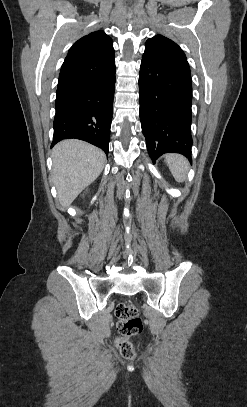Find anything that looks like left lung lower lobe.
<instances>
[{"instance_id":"0a47b994","label":"left lung lower lobe","mask_w":247,"mask_h":407,"mask_svg":"<svg viewBox=\"0 0 247 407\" xmlns=\"http://www.w3.org/2000/svg\"><path fill=\"white\" fill-rule=\"evenodd\" d=\"M140 120L152 160L180 153L191 162L192 80L189 65L144 52L140 74Z\"/></svg>"}]
</instances>
